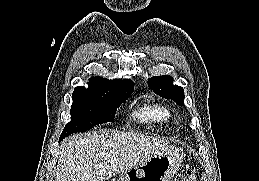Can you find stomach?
Returning <instances> with one entry per match:
<instances>
[{
	"instance_id": "obj_1",
	"label": "stomach",
	"mask_w": 259,
	"mask_h": 181,
	"mask_svg": "<svg viewBox=\"0 0 259 181\" xmlns=\"http://www.w3.org/2000/svg\"><path fill=\"white\" fill-rule=\"evenodd\" d=\"M183 158L178 149L168 147L121 173L118 181H169Z\"/></svg>"
}]
</instances>
